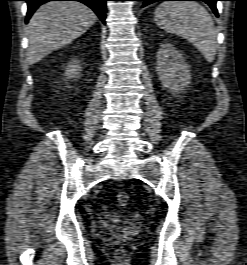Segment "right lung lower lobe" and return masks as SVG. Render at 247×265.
<instances>
[{"instance_id":"98d812e1","label":"right lung lower lobe","mask_w":247,"mask_h":265,"mask_svg":"<svg viewBox=\"0 0 247 265\" xmlns=\"http://www.w3.org/2000/svg\"><path fill=\"white\" fill-rule=\"evenodd\" d=\"M28 5V12L26 16V23H28L30 17L34 11L41 5L49 1H79L89 6L105 24L106 18V1L108 0H25Z\"/></svg>"}]
</instances>
